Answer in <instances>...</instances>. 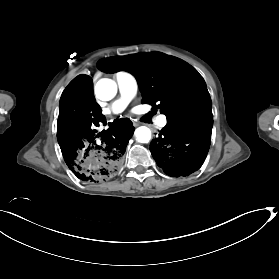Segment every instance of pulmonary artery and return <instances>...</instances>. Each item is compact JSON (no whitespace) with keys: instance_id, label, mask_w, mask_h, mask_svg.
I'll use <instances>...</instances> for the list:
<instances>
[{"instance_id":"pulmonary-artery-1","label":"pulmonary artery","mask_w":279,"mask_h":279,"mask_svg":"<svg viewBox=\"0 0 279 279\" xmlns=\"http://www.w3.org/2000/svg\"><path fill=\"white\" fill-rule=\"evenodd\" d=\"M113 78L118 86L119 97L103 109L105 114L122 111L136 95L137 82L133 76L126 72H117ZM157 126L159 127L160 123H157Z\"/></svg>"}]
</instances>
